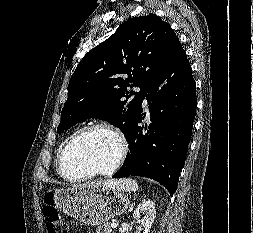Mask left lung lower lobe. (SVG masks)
Returning <instances> with one entry per match:
<instances>
[{
	"mask_svg": "<svg viewBox=\"0 0 253 233\" xmlns=\"http://www.w3.org/2000/svg\"><path fill=\"white\" fill-rule=\"evenodd\" d=\"M150 123L140 106L126 136L129 151L113 178L146 176L162 184L172 196L185 163L196 112L195 81L180 43L162 77L147 90Z\"/></svg>",
	"mask_w": 253,
	"mask_h": 233,
	"instance_id": "0a47b994",
	"label": "left lung lower lobe"
}]
</instances>
